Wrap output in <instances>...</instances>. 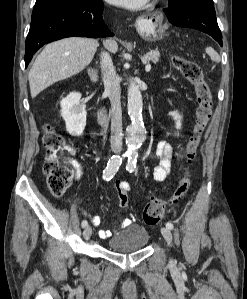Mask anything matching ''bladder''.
I'll return each instance as SVG.
<instances>
[{
    "mask_svg": "<svg viewBox=\"0 0 247 299\" xmlns=\"http://www.w3.org/2000/svg\"><path fill=\"white\" fill-rule=\"evenodd\" d=\"M149 240V233L145 227L130 225L109 238L107 246L111 251L129 253L143 249Z\"/></svg>",
    "mask_w": 247,
    "mask_h": 299,
    "instance_id": "bladder-1",
    "label": "bladder"
}]
</instances>
